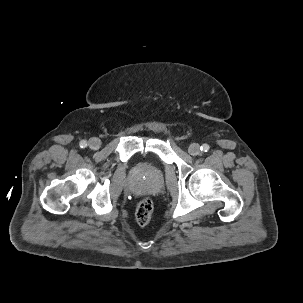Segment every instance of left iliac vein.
<instances>
[{
	"instance_id": "1",
	"label": "left iliac vein",
	"mask_w": 303,
	"mask_h": 303,
	"mask_svg": "<svg viewBox=\"0 0 303 303\" xmlns=\"http://www.w3.org/2000/svg\"><path fill=\"white\" fill-rule=\"evenodd\" d=\"M188 152L192 156H196L200 153V146L196 143H193L189 146Z\"/></svg>"
}]
</instances>
